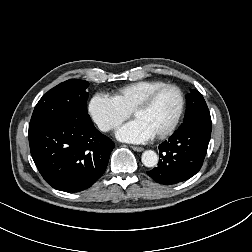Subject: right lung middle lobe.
I'll list each match as a JSON object with an SVG mask.
<instances>
[{
    "instance_id": "dd1d6c3e",
    "label": "right lung middle lobe",
    "mask_w": 252,
    "mask_h": 252,
    "mask_svg": "<svg viewBox=\"0 0 252 252\" xmlns=\"http://www.w3.org/2000/svg\"><path fill=\"white\" fill-rule=\"evenodd\" d=\"M88 85L87 81L70 79L49 90L35 106L29 126L64 118L91 122L86 108Z\"/></svg>"
}]
</instances>
